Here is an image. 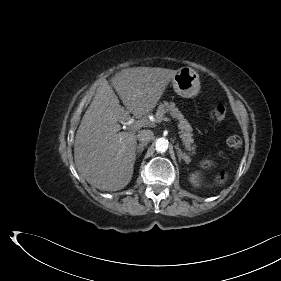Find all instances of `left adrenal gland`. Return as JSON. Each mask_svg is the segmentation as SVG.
<instances>
[{"label":"left adrenal gland","instance_id":"1","mask_svg":"<svg viewBox=\"0 0 281 281\" xmlns=\"http://www.w3.org/2000/svg\"><path fill=\"white\" fill-rule=\"evenodd\" d=\"M176 149H177L179 161H181V159H183L186 162V164H188V161H187L188 156L185 153H183L178 146L176 147Z\"/></svg>","mask_w":281,"mask_h":281}]
</instances>
